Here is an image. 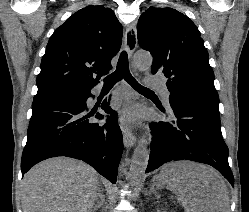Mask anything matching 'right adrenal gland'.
<instances>
[{
	"mask_svg": "<svg viewBox=\"0 0 249 212\" xmlns=\"http://www.w3.org/2000/svg\"><path fill=\"white\" fill-rule=\"evenodd\" d=\"M95 200H96V204H95L92 212H96V210H98V208H102V206H104L105 196H103L102 188H99L97 198H95Z\"/></svg>",
	"mask_w": 249,
	"mask_h": 212,
	"instance_id": "obj_1",
	"label": "right adrenal gland"
}]
</instances>
